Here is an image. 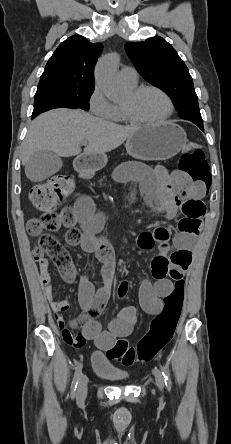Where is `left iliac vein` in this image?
I'll use <instances>...</instances> for the list:
<instances>
[{"label": "left iliac vein", "mask_w": 231, "mask_h": 444, "mask_svg": "<svg viewBox=\"0 0 231 444\" xmlns=\"http://www.w3.org/2000/svg\"><path fill=\"white\" fill-rule=\"evenodd\" d=\"M154 375H155V380H156V385H157V387L161 390V391H163V388H164V379H163V376L161 375V373L159 372V371H155L154 372Z\"/></svg>", "instance_id": "1"}]
</instances>
